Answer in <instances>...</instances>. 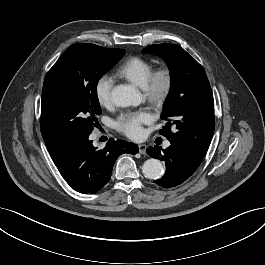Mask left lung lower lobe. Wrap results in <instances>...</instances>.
<instances>
[{"mask_svg":"<svg viewBox=\"0 0 265 265\" xmlns=\"http://www.w3.org/2000/svg\"><path fill=\"white\" fill-rule=\"evenodd\" d=\"M147 154L153 158L163 160L166 164V172L161 179L154 183L164 188L180 185L188 179L200 165L197 161L187 155L182 149L170 145L167 149L159 146L146 149Z\"/></svg>","mask_w":265,"mask_h":265,"instance_id":"obj_1","label":"left lung lower lobe"}]
</instances>
